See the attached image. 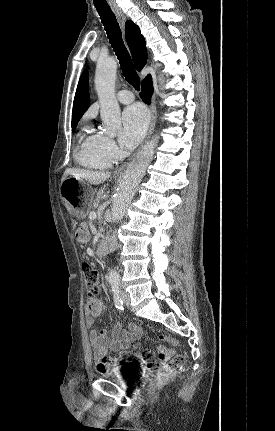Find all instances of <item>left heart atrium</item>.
Here are the masks:
<instances>
[{
  "mask_svg": "<svg viewBox=\"0 0 275 431\" xmlns=\"http://www.w3.org/2000/svg\"><path fill=\"white\" fill-rule=\"evenodd\" d=\"M148 127V114L138 104L126 108L122 114L120 143L125 148L135 147L144 137Z\"/></svg>",
  "mask_w": 275,
  "mask_h": 431,
  "instance_id": "obj_1",
  "label": "left heart atrium"
}]
</instances>
